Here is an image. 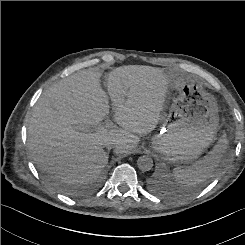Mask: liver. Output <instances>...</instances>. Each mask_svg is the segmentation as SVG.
<instances>
[{"label":"liver","instance_id":"6515ba94","mask_svg":"<svg viewBox=\"0 0 245 245\" xmlns=\"http://www.w3.org/2000/svg\"><path fill=\"white\" fill-rule=\"evenodd\" d=\"M100 77L98 71L82 70L60 80L41 95L29 121L34 163L67 184L101 174L109 158L106 142L115 145L116 154L126 153L160 120L169 83L163 69L128 65L109 73L107 88L118 130L100 125L109 113Z\"/></svg>","mask_w":245,"mask_h":245}]
</instances>
